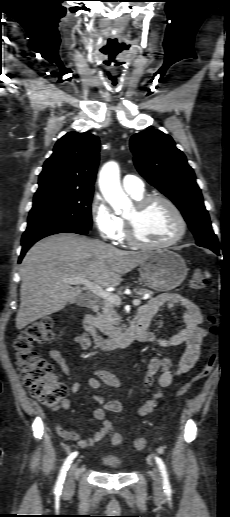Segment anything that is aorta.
I'll return each instance as SVG.
<instances>
[{
  "label": "aorta",
  "instance_id": "obj_1",
  "mask_svg": "<svg viewBox=\"0 0 230 517\" xmlns=\"http://www.w3.org/2000/svg\"><path fill=\"white\" fill-rule=\"evenodd\" d=\"M99 187L116 213H121L129 206L130 200L121 187L120 169L116 162L110 161L103 165L99 173Z\"/></svg>",
  "mask_w": 230,
  "mask_h": 517
}]
</instances>
